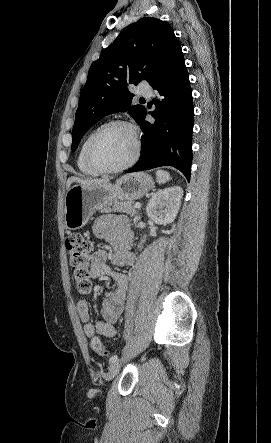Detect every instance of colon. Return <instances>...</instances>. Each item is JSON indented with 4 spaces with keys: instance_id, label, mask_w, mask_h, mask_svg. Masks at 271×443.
Instances as JSON below:
<instances>
[{
    "instance_id": "obj_1",
    "label": "colon",
    "mask_w": 271,
    "mask_h": 443,
    "mask_svg": "<svg viewBox=\"0 0 271 443\" xmlns=\"http://www.w3.org/2000/svg\"><path fill=\"white\" fill-rule=\"evenodd\" d=\"M66 249L78 292L89 294L92 289L89 268L93 251L92 242L80 234H73L66 240ZM91 348L98 355H107V351L98 337L92 338Z\"/></svg>"
}]
</instances>
